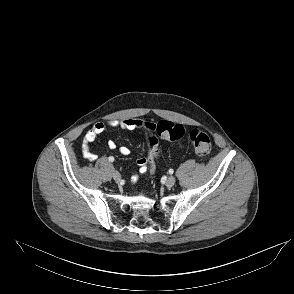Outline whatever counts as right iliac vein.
I'll list each match as a JSON object with an SVG mask.
<instances>
[{
  "instance_id": "obj_1",
  "label": "right iliac vein",
  "mask_w": 294,
  "mask_h": 294,
  "mask_svg": "<svg viewBox=\"0 0 294 294\" xmlns=\"http://www.w3.org/2000/svg\"><path fill=\"white\" fill-rule=\"evenodd\" d=\"M113 179L115 180V182H120L121 181V175H120V173L119 172H117V171H114L113 172Z\"/></svg>"
}]
</instances>
